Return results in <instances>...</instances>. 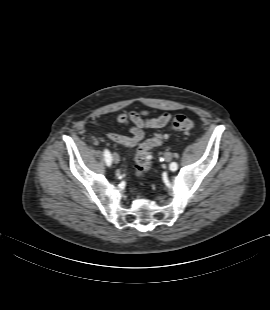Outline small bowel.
<instances>
[{
    "label": "small bowel",
    "mask_w": 270,
    "mask_h": 310,
    "mask_svg": "<svg viewBox=\"0 0 270 310\" xmlns=\"http://www.w3.org/2000/svg\"><path fill=\"white\" fill-rule=\"evenodd\" d=\"M150 112L145 109L130 110L121 112L117 116V122L129 129L130 135H121L117 133H108L107 137L111 141L126 147H133L139 144L145 137L146 130L160 129L165 127L171 121L170 113H162L156 117H149ZM94 125L100 122L95 120Z\"/></svg>",
    "instance_id": "small-bowel-1"
}]
</instances>
